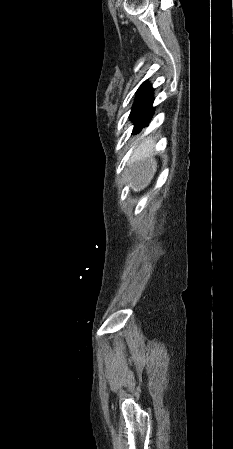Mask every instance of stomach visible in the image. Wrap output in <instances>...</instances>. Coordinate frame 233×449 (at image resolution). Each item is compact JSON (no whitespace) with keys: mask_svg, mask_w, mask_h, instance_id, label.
<instances>
[{"mask_svg":"<svg viewBox=\"0 0 233 449\" xmlns=\"http://www.w3.org/2000/svg\"><path fill=\"white\" fill-rule=\"evenodd\" d=\"M153 169H154V165L152 163H149L146 166V169H143L141 171V176H145V181H144V184L142 186H140V188L144 187L148 183V181L150 180V175H151Z\"/></svg>","mask_w":233,"mask_h":449,"instance_id":"stomach-1","label":"stomach"}]
</instances>
